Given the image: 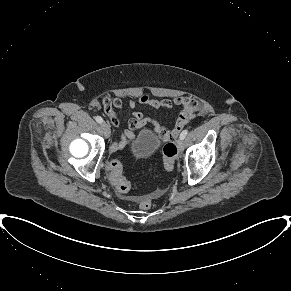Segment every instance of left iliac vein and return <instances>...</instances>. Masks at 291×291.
I'll use <instances>...</instances> for the list:
<instances>
[{
    "label": "left iliac vein",
    "mask_w": 291,
    "mask_h": 291,
    "mask_svg": "<svg viewBox=\"0 0 291 291\" xmlns=\"http://www.w3.org/2000/svg\"><path fill=\"white\" fill-rule=\"evenodd\" d=\"M177 147H178L179 151H183L184 150V141H183V139H181V138L178 139Z\"/></svg>",
    "instance_id": "1"
}]
</instances>
